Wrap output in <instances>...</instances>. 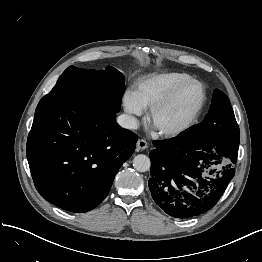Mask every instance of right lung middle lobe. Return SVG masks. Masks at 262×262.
<instances>
[{"instance_id": "dd1d6c3e", "label": "right lung middle lobe", "mask_w": 262, "mask_h": 262, "mask_svg": "<svg viewBox=\"0 0 262 262\" xmlns=\"http://www.w3.org/2000/svg\"><path fill=\"white\" fill-rule=\"evenodd\" d=\"M124 91V76L113 67L86 70L70 66L45 97H81L101 105L107 113L116 114Z\"/></svg>"}]
</instances>
